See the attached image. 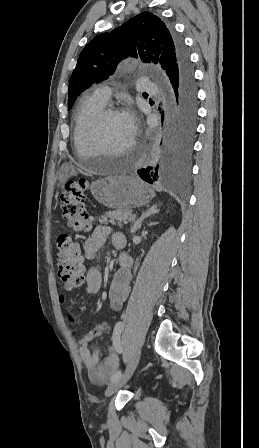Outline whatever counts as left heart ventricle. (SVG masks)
Masks as SVG:
<instances>
[{
    "instance_id": "1",
    "label": "left heart ventricle",
    "mask_w": 259,
    "mask_h": 448,
    "mask_svg": "<svg viewBox=\"0 0 259 448\" xmlns=\"http://www.w3.org/2000/svg\"><path fill=\"white\" fill-rule=\"evenodd\" d=\"M102 136L104 143L110 150L105 151L92 148L82 150L81 155L84 163L92 157L104 158L108 155H117L128 150L134 137L122 115L111 116L105 121Z\"/></svg>"
}]
</instances>
